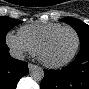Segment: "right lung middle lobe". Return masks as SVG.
Returning a JSON list of instances; mask_svg holds the SVG:
<instances>
[{"instance_id": "obj_1", "label": "right lung middle lobe", "mask_w": 89, "mask_h": 89, "mask_svg": "<svg viewBox=\"0 0 89 89\" xmlns=\"http://www.w3.org/2000/svg\"><path fill=\"white\" fill-rule=\"evenodd\" d=\"M20 23H22V21L17 19H12L7 16L0 17V45L5 43V37L7 32Z\"/></svg>"}]
</instances>
